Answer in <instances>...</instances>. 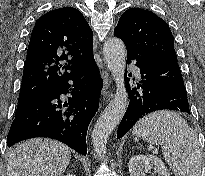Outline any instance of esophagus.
Returning a JSON list of instances; mask_svg holds the SVG:
<instances>
[{"label": "esophagus", "mask_w": 205, "mask_h": 176, "mask_svg": "<svg viewBox=\"0 0 205 176\" xmlns=\"http://www.w3.org/2000/svg\"><path fill=\"white\" fill-rule=\"evenodd\" d=\"M102 78H103L102 98L105 99L108 94V88L110 87L111 81L109 79V74L106 71H103Z\"/></svg>", "instance_id": "1"}]
</instances>
